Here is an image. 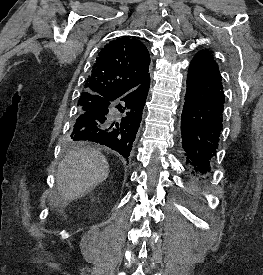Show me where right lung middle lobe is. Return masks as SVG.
I'll use <instances>...</instances> for the list:
<instances>
[{"label":"right lung middle lobe","mask_w":263,"mask_h":275,"mask_svg":"<svg viewBox=\"0 0 263 275\" xmlns=\"http://www.w3.org/2000/svg\"><path fill=\"white\" fill-rule=\"evenodd\" d=\"M79 106V113L102 108L105 106V100L101 97L93 94L81 95L78 101ZM69 146L71 147H79L78 144L70 143Z\"/></svg>","instance_id":"right-lung-middle-lobe-1"}]
</instances>
